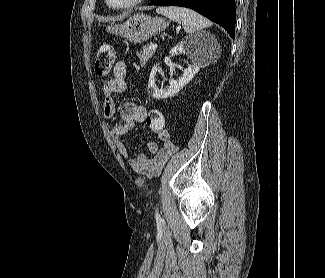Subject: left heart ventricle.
Segmentation results:
<instances>
[{
    "label": "left heart ventricle",
    "mask_w": 325,
    "mask_h": 278,
    "mask_svg": "<svg viewBox=\"0 0 325 278\" xmlns=\"http://www.w3.org/2000/svg\"><path fill=\"white\" fill-rule=\"evenodd\" d=\"M129 1L131 0H110V2L115 6L123 5L125 3H128Z\"/></svg>",
    "instance_id": "b2bd125f"
}]
</instances>
